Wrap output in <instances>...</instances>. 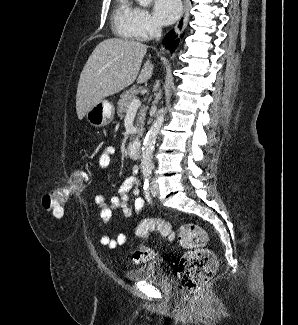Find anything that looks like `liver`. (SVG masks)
<instances>
[{"instance_id": "1", "label": "liver", "mask_w": 298, "mask_h": 325, "mask_svg": "<svg viewBox=\"0 0 298 325\" xmlns=\"http://www.w3.org/2000/svg\"><path fill=\"white\" fill-rule=\"evenodd\" d=\"M147 48L148 44L124 38H105L95 46L78 80L76 112L80 120L106 96L117 94L135 80L143 84L153 76L154 64L150 58L141 68Z\"/></svg>"}]
</instances>
